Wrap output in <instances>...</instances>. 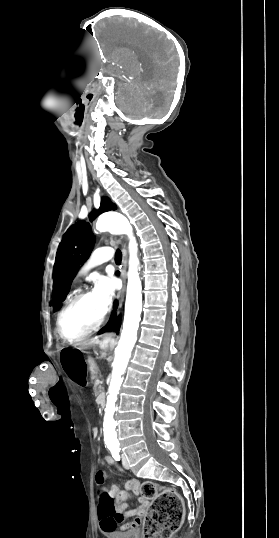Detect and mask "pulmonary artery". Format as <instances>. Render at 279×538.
<instances>
[{
    "instance_id": "obj_1",
    "label": "pulmonary artery",
    "mask_w": 279,
    "mask_h": 538,
    "mask_svg": "<svg viewBox=\"0 0 279 538\" xmlns=\"http://www.w3.org/2000/svg\"><path fill=\"white\" fill-rule=\"evenodd\" d=\"M109 259H110V257H109V256H106V257H104V258H102V259H100V260H98V261H95L96 263H95V264L93 263V264L96 265L97 263H102V262L108 261ZM89 269H90V267L87 266V265H85V266L82 267V269L80 270L79 275L81 276V275L85 274Z\"/></svg>"
}]
</instances>
